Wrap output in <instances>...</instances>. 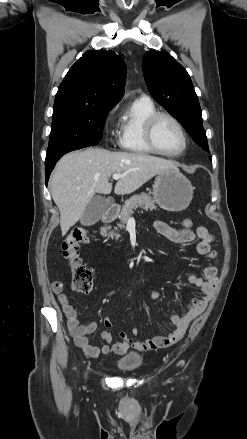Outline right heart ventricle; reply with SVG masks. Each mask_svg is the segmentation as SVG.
Wrapping results in <instances>:
<instances>
[{
    "instance_id": "obj_1",
    "label": "right heart ventricle",
    "mask_w": 247,
    "mask_h": 439,
    "mask_svg": "<svg viewBox=\"0 0 247 439\" xmlns=\"http://www.w3.org/2000/svg\"><path fill=\"white\" fill-rule=\"evenodd\" d=\"M157 112L151 100L137 99L123 114L119 136L120 147L134 153H152L144 138L147 119Z\"/></svg>"
}]
</instances>
